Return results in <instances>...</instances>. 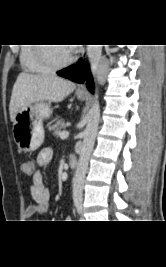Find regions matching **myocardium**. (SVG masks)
I'll return each mask as SVG.
<instances>
[{
    "mask_svg": "<svg viewBox=\"0 0 166 267\" xmlns=\"http://www.w3.org/2000/svg\"><path fill=\"white\" fill-rule=\"evenodd\" d=\"M46 45L47 44H39V46H37V55L40 61L44 63L46 66H48L49 68L53 70L62 69V68L68 67L76 60V56L74 54H71L69 59H67L66 61L57 62L52 57L48 49L49 46H46Z\"/></svg>",
    "mask_w": 166,
    "mask_h": 267,
    "instance_id": "myocardium-1",
    "label": "myocardium"
}]
</instances>
